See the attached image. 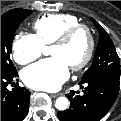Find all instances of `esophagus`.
I'll use <instances>...</instances> for the list:
<instances>
[{"instance_id": "1", "label": "esophagus", "mask_w": 121, "mask_h": 121, "mask_svg": "<svg viewBox=\"0 0 121 121\" xmlns=\"http://www.w3.org/2000/svg\"><path fill=\"white\" fill-rule=\"evenodd\" d=\"M50 96H51L52 98H56V97L59 96V94H50Z\"/></svg>"}]
</instances>
